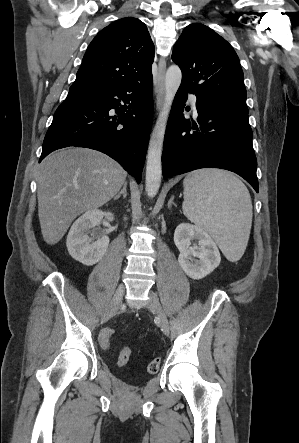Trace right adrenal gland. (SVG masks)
<instances>
[{"mask_svg":"<svg viewBox=\"0 0 299 443\" xmlns=\"http://www.w3.org/2000/svg\"><path fill=\"white\" fill-rule=\"evenodd\" d=\"M127 182H124L122 190L114 197V200H118L121 196L125 199L127 197Z\"/></svg>","mask_w":299,"mask_h":443,"instance_id":"obj_1","label":"right adrenal gland"}]
</instances>
